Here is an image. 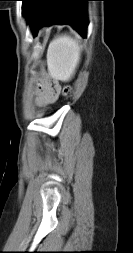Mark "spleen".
I'll return each mask as SVG.
<instances>
[{"label": "spleen", "mask_w": 133, "mask_h": 253, "mask_svg": "<svg viewBox=\"0 0 133 253\" xmlns=\"http://www.w3.org/2000/svg\"><path fill=\"white\" fill-rule=\"evenodd\" d=\"M81 56L78 41L69 35L52 40L47 51L49 74L60 81H69L75 74Z\"/></svg>", "instance_id": "3e777b00"}]
</instances>
